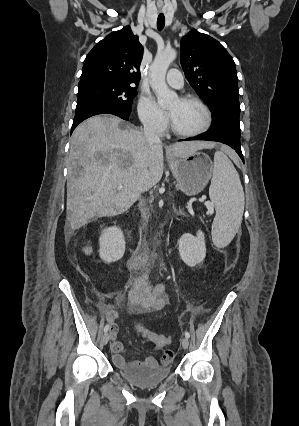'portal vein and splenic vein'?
Listing matches in <instances>:
<instances>
[{"label": "portal vein and splenic vein", "instance_id": "portal-vein-and-splenic-vein-1", "mask_svg": "<svg viewBox=\"0 0 299 426\" xmlns=\"http://www.w3.org/2000/svg\"><path fill=\"white\" fill-rule=\"evenodd\" d=\"M116 188H117V190H121L123 188V186L121 184H117ZM201 200L204 201L205 198H202ZM204 204L207 208H213V204L211 202L206 201Z\"/></svg>", "mask_w": 299, "mask_h": 426}]
</instances>
